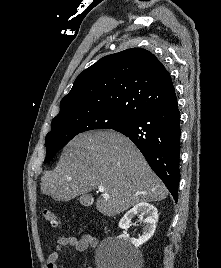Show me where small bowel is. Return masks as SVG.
Here are the masks:
<instances>
[{"instance_id":"1","label":"small bowel","mask_w":221,"mask_h":268,"mask_svg":"<svg viewBox=\"0 0 221 268\" xmlns=\"http://www.w3.org/2000/svg\"><path fill=\"white\" fill-rule=\"evenodd\" d=\"M98 245V240L90 235H84L80 238L75 236L60 237L57 240L55 248L48 254L46 260L47 268H59V258L66 247H73L77 251H85L88 248H96ZM91 268V267H88Z\"/></svg>"}]
</instances>
